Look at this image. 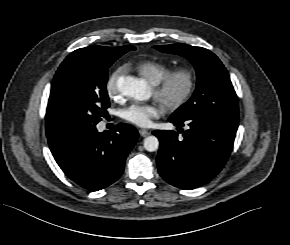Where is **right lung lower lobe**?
<instances>
[{
    "mask_svg": "<svg viewBox=\"0 0 290 245\" xmlns=\"http://www.w3.org/2000/svg\"><path fill=\"white\" fill-rule=\"evenodd\" d=\"M47 137L63 172L81 187L97 191L122 175L138 131L130 124L120 123L113 132H98L96 124H90L65 128Z\"/></svg>",
    "mask_w": 290,
    "mask_h": 245,
    "instance_id": "98d812e1",
    "label": "right lung lower lobe"
}]
</instances>
